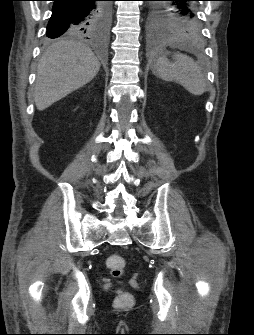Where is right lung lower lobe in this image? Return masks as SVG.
Here are the masks:
<instances>
[{
    "label": "right lung lower lobe",
    "instance_id": "98d812e1",
    "mask_svg": "<svg viewBox=\"0 0 254 335\" xmlns=\"http://www.w3.org/2000/svg\"><path fill=\"white\" fill-rule=\"evenodd\" d=\"M53 1L52 15L47 25V37L51 39L78 31L88 35L103 3L100 0Z\"/></svg>",
    "mask_w": 254,
    "mask_h": 335
}]
</instances>
